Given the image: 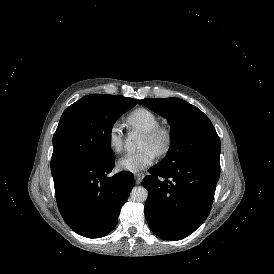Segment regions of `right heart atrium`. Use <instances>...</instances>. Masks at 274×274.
Wrapping results in <instances>:
<instances>
[{
  "instance_id": "right-heart-atrium-1",
  "label": "right heart atrium",
  "mask_w": 274,
  "mask_h": 274,
  "mask_svg": "<svg viewBox=\"0 0 274 274\" xmlns=\"http://www.w3.org/2000/svg\"><path fill=\"white\" fill-rule=\"evenodd\" d=\"M107 142L109 148L114 152H119L123 147V138L118 123H113L107 131Z\"/></svg>"
}]
</instances>
